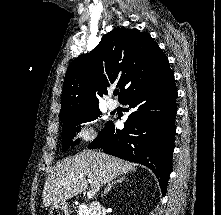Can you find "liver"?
<instances>
[{
    "label": "liver",
    "mask_w": 221,
    "mask_h": 215,
    "mask_svg": "<svg viewBox=\"0 0 221 215\" xmlns=\"http://www.w3.org/2000/svg\"><path fill=\"white\" fill-rule=\"evenodd\" d=\"M136 172L134 164L102 152L85 150L59 162L48 175L42 194L43 204L48 207L63 203L83 192L88 185L98 192L103 184Z\"/></svg>",
    "instance_id": "1"
}]
</instances>
